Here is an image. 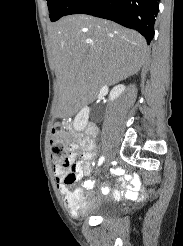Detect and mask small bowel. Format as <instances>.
I'll use <instances>...</instances> for the list:
<instances>
[{"label":"small bowel","instance_id":"obj_1","mask_svg":"<svg viewBox=\"0 0 183 246\" xmlns=\"http://www.w3.org/2000/svg\"><path fill=\"white\" fill-rule=\"evenodd\" d=\"M81 151L82 161H75L77 152ZM96 156V145L93 137L85 139L81 145L71 144L70 153L68 155L69 164L65 166L55 165L54 175L57 181L58 191L63 197L65 206L70 211L71 215L77 217L86 213L96 202V196L94 194H85L82 189L70 190V185L65 182V178H75L79 180L86 177L83 183V188L91 190L94 183L91 179L92 166L91 161ZM72 172V173H71ZM111 174H121V178L117 181V188L110 189L108 185H103L100 189L101 193L108 195L111 200L117 201L121 197L127 199H135L137 197V191L139 189H145V184H140L138 174H127V169H111ZM127 179L130 180V184H126ZM77 197L82 198L87 210H77L72 208V202Z\"/></svg>","mask_w":183,"mask_h":246}]
</instances>
